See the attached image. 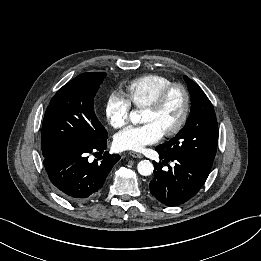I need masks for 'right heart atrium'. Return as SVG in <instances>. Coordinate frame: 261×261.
Returning <instances> with one entry per match:
<instances>
[{
  "label": "right heart atrium",
  "mask_w": 261,
  "mask_h": 261,
  "mask_svg": "<svg viewBox=\"0 0 261 261\" xmlns=\"http://www.w3.org/2000/svg\"><path fill=\"white\" fill-rule=\"evenodd\" d=\"M131 104L123 95L113 92L105 103V116L114 128H122L129 122Z\"/></svg>",
  "instance_id": "1"
}]
</instances>
